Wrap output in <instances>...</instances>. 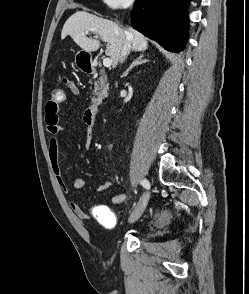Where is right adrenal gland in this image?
Segmentation results:
<instances>
[{
  "label": "right adrenal gland",
  "mask_w": 249,
  "mask_h": 294,
  "mask_svg": "<svg viewBox=\"0 0 249 294\" xmlns=\"http://www.w3.org/2000/svg\"><path fill=\"white\" fill-rule=\"evenodd\" d=\"M144 55L143 54H140L139 57H137L133 62L132 64L130 65V67L126 70L125 72V75L128 74V72L133 69L135 66H138L140 64H143V63H146L148 62L149 60L147 59H143Z\"/></svg>",
  "instance_id": "1"
}]
</instances>
